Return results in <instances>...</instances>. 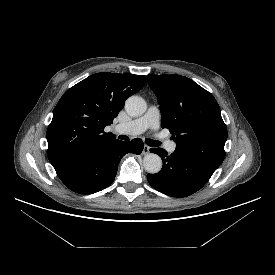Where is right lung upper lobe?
<instances>
[{
	"instance_id": "cb5924a9",
	"label": "right lung upper lobe",
	"mask_w": 275,
	"mask_h": 275,
	"mask_svg": "<svg viewBox=\"0 0 275 275\" xmlns=\"http://www.w3.org/2000/svg\"><path fill=\"white\" fill-rule=\"evenodd\" d=\"M146 81L144 75L102 72L68 89L47 129V156L53 167L119 142L104 128Z\"/></svg>"
}]
</instances>
